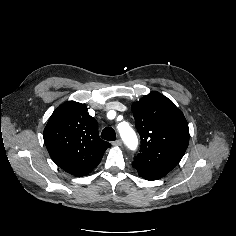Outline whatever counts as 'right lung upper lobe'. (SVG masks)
I'll return each instance as SVG.
<instances>
[{"label": "right lung upper lobe", "mask_w": 236, "mask_h": 236, "mask_svg": "<svg viewBox=\"0 0 236 236\" xmlns=\"http://www.w3.org/2000/svg\"><path fill=\"white\" fill-rule=\"evenodd\" d=\"M43 138L57 166L76 177L90 173L111 146L100 139L97 121L86 105L75 101H67L53 112Z\"/></svg>", "instance_id": "right-lung-upper-lobe-1"}]
</instances>
